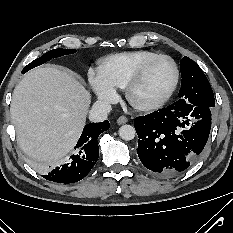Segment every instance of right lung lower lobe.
<instances>
[{
    "instance_id": "right-lung-lower-lobe-1",
    "label": "right lung lower lobe",
    "mask_w": 233,
    "mask_h": 233,
    "mask_svg": "<svg viewBox=\"0 0 233 233\" xmlns=\"http://www.w3.org/2000/svg\"><path fill=\"white\" fill-rule=\"evenodd\" d=\"M109 121L102 123H90L85 126L77 145L74 147V154L66 163L56 167L43 178L69 184L83 179L93 168L99 157L98 136L108 130Z\"/></svg>"
}]
</instances>
